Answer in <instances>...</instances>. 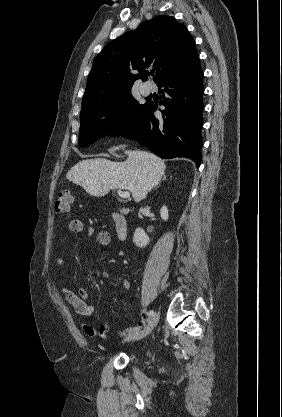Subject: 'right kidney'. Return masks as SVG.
I'll use <instances>...</instances> for the list:
<instances>
[{"label": "right kidney", "mask_w": 282, "mask_h": 417, "mask_svg": "<svg viewBox=\"0 0 282 417\" xmlns=\"http://www.w3.org/2000/svg\"><path fill=\"white\" fill-rule=\"evenodd\" d=\"M160 215L163 221H167L169 217L167 206H162V209H160ZM133 243H135L136 247H146V245H149L150 239L143 229H135Z\"/></svg>", "instance_id": "right-kidney-1"}]
</instances>
